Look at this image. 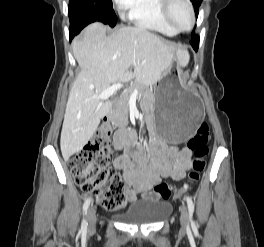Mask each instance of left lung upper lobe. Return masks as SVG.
<instances>
[{
	"label": "left lung upper lobe",
	"mask_w": 264,
	"mask_h": 247,
	"mask_svg": "<svg viewBox=\"0 0 264 247\" xmlns=\"http://www.w3.org/2000/svg\"><path fill=\"white\" fill-rule=\"evenodd\" d=\"M191 2L193 3V5L195 7L196 16H198L199 6L201 5L202 0H191ZM192 37L196 38V37H199V36H197V35L192 33Z\"/></svg>",
	"instance_id": "obj_1"
}]
</instances>
